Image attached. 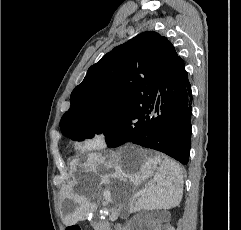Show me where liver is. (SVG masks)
<instances>
[{
    "mask_svg": "<svg viewBox=\"0 0 241 230\" xmlns=\"http://www.w3.org/2000/svg\"><path fill=\"white\" fill-rule=\"evenodd\" d=\"M78 169H74L76 177L62 189V198L72 199L77 206L72 213L61 215L65 225H74L78 221L88 218L90 213L97 209V204L91 198L99 197L102 185L106 186L103 193L108 194L118 203L124 200L120 194L113 190L110 183L113 180L130 182L135 187L140 186L146 180L150 181L135 194L128 203L129 211L140 209L168 210L178 206L183 193V170L174 160L150 153L131 144L125 145L118 151L107 153H91L83 164L76 163ZM93 176L99 179L95 192L87 194L89 197L77 196L87 177ZM111 192V193H110Z\"/></svg>",
    "mask_w": 241,
    "mask_h": 230,
    "instance_id": "liver-1",
    "label": "liver"
}]
</instances>
